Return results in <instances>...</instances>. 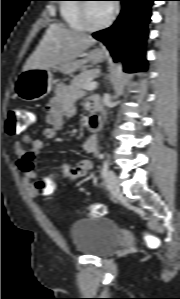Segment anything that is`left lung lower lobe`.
<instances>
[{
	"mask_svg": "<svg viewBox=\"0 0 180 299\" xmlns=\"http://www.w3.org/2000/svg\"><path fill=\"white\" fill-rule=\"evenodd\" d=\"M130 2L109 28L92 34L109 49L114 61L122 60L124 71L142 72L147 69L145 39L155 0H120Z\"/></svg>",
	"mask_w": 180,
	"mask_h": 299,
	"instance_id": "0a47b994",
	"label": "left lung lower lobe"
}]
</instances>
